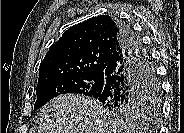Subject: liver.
Segmentation results:
<instances>
[{
    "mask_svg": "<svg viewBox=\"0 0 184 133\" xmlns=\"http://www.w3.org/2000/svg\"><path fill=\"white\" fill-rule=\"evenodd\" d=\"M38 133H143L145 129L111 113L102 103L81 95L52 99L38 115Z\"/></svg>",
    "mask_w": 184,
    "mask_h": 133,
    "instance_id": "liver-1",
    "label": "liver"
}]
</instances>
